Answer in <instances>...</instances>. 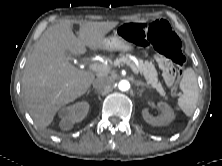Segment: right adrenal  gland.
Segmentation results:
<instances>
[{"label":"right adrenal gland","instance_id":"right-adrenal-gland-1","mask_svg":"<svg viewBox=\"0 0 222 166\" xmlns=\"http://www.w3.org/2000/svg\"><path fill=\"white\" fill-rule=\"evenodd\" d=\"M90 91H91V90L89 89V90L87 91V94H89V93H90Z\"/></svg>","mask_w":222,"mask_h":166}]
</instances>
